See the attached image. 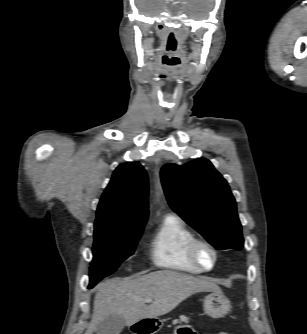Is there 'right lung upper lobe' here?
<instances>
[{
  "label": "right lung upper lobe",
  "mask_w": 307,
  "mask_h": 334,
  "mask_svg": "<svg viewBox=\"0 0 307 334\" xmlns=\"http://www.w3.org/2000/svg\"><path fill=\"white\" fill-rule=\"evenodd\" d=\"M148 177L138 162L120 164L106 187L94 230L145 225L148 218Z\"/></svg>",
  "instance_id": "obj_1"
}]
</instances>
